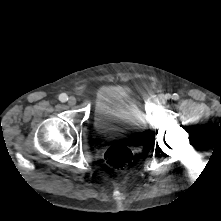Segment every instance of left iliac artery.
Instances as JSON below:
<instances>
[{"instance_id": "left-iliac-artery-1", "label": "left iliac artery", "mask_w": 221, "mask_h": 221, "mask_svg": "<svg viewBox=\"0 0 221 221\" xmlns=\"http://www.w3.org/2000/svg\"><path fill=\"white\" fill-rule=\"evenodd\" d=\"M166 96H167V98H170V95H169V94H167ZM172 98H173L174 100H177V99L179 98V96H178V94L175 93V94H173Z\"/></svg>"}]
</instances>
